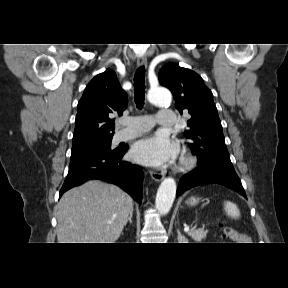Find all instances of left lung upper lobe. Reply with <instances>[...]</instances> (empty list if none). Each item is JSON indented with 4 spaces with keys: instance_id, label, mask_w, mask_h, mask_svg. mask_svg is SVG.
<instances>
[{
    "instance_id": "obj_1",
    "label": "left lung upper lobe",
    "mask_w": 288,
    "mask_h": 288,
    "mask_svg": "<svg viewBox=\"0 0 288 288\" xmlns=\"http://www.w3.org/2000/svg\"><path fill=\"white\" fill-rule=\"evenodd\" d=\"M159 82L170 89L179 112L188 111L191 115L184 135L190 140L189 147L198 163L234 170L213 94L201 76L177 63H168L159 71Z\"/></svg>"
}]
</instances>
